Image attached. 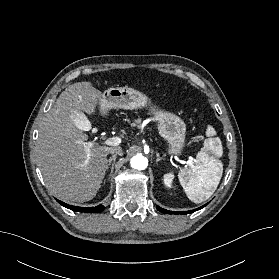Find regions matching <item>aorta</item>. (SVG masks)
<instances>
[{
  "mask_svg": "<svg viewBox=\"0 0 279 279\" xmlns=\"http://www.w3.org/2000/svg\"><path fill=\"white\" fill-rule=\"evenodd\" d=\"M130 165L137 170H144L148 165V160L142 155H135L131 158Z\"/></svg>",
  "mask_w": 279,
  "mask_h": 279,
  "instance_id": "obj_1",
  "label": "aorta"
}]
</instances>
